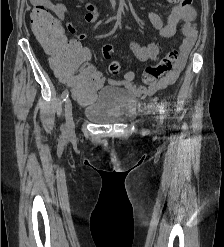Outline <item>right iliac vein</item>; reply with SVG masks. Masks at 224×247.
Here are the masks:
<instances>
[{
  "label": "right iliac vein",
  "mask_w": 224,
  "mask_h": 247,
  "mask_svg": "<svg viewBox=\"0 0 224 247\" xmlns=\"http://www.w3.org/2000/svg\"><path fill=\"white\" fill-rule=\"evenodd\" d=\"M64 114L66 119V132L71 134L74 130V121L72 116V103L70 99H67L64 107Z\"/></svg>",
  "instance_id": "right-iliac-vein-1"
}]
</instances>
